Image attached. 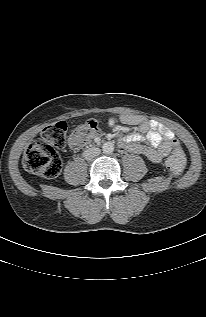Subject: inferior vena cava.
<instances>
[{
  "instance_id": "1",
  "label": "inferior vena cava",
  "mask_w": 206,
  "mask_h": 317,
  "mask_svg": "<svg viewBox=\"0 0 206 317\" xmlns=\"http://www.w3.org/2000/svg\"><path fill=\"white\" fill-rule=\"evenodd\" d=\"M101 153V150L99 148H96V147H91V148H88L86 149L84 152H83V157L86 159V160H91L97 156H99V154Z\"/></svg>"
}]
</instances>
